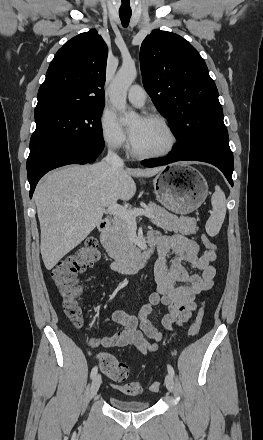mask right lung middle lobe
<instances>
[{"mask_svg":"<svg viewBox=\"0 0 263 440\" xmlns=\"http://www.w3.org/2000/svg\"><path fill=\"white\" fill-rule=\"evenodd\" d=\"M103 106H56L35 109L36 129L30 140L27 169L55 150L102 143Z\"/></svg>","mask_w":263,"mask_h":440,"instance_id":"1","label":"right lung middle lobe"}]
</instances>
